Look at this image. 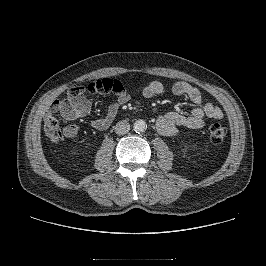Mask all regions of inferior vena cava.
I'll return each mask as SVG.
<instances>
[{
	"instance_id": "1",
	"label": "inferior vena cava",
	"mask_w": 266,
	"mask_h": 266,
	"mask_svg": "<svg viewBox=\"0 0 266 266\" xmlns=\"http://www.w3.org/2000/svg\"><path fill=\"white\" fill-rule=\"evenodd\" d=\"M130 130V124L123 120V121H119L116 125H115V132L118 135H124L127 132H129Z\"/></svg>"
}]
</instances>
